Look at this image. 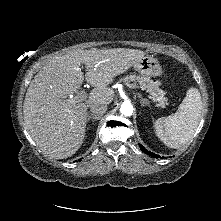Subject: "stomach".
Segmentation results:
<instances>
[{
    "mask_svg": "<svg viewBox=\"0 0 221 221\" xmlns=\"http://www.w3.org/2000/svg\"><path fill=\"white\" fill-rule=\"evenodd\" d=\"M134 69L141 75L147 77H157L163 74V70L159 61L152 56H144L134 65Z\"/></svg>",
    "mask_w": 221,
    "mask_h": 221,
    "instance_id": "1",
    "label": "stomach"
}]
</instances>
